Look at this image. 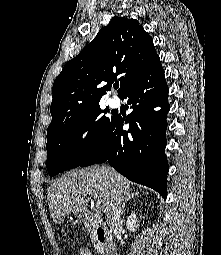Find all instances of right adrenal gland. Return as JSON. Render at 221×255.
I'll use <instances>...</instances> for the list:
<instances>
[{
  "mask_svg": "<svg viewBox=\"0 0 221 255\" xmlns=\"http://www.w3.org/2000/svg\"><path fill=\"white\" fill-rule=\"evenodd\" d=\"M138 195H139V192H130V190L126 192L125 197L123 199L121 215L125 214L126 203L132 198H134V196H138Z\"/></svg>",
  "mask_w": 221,
  "mask_h": 255,
  "instance_id": "1",
  "label": "right adrenal gland"
}]
</instances>
